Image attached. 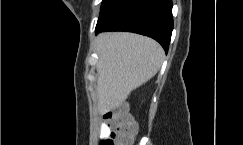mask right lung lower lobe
<instances>
[{"label":"right lung lower lobe","mask_w":243,"mask_h":145,"mask_svg":"<svg viewBox=\"0 0 243 145\" xmlns=\"http://www.w3.org/2000/svg\"><path fill=\"white\" fill-rule=\"evenodd\" d=\"M96 34L129 31L152 37L168 51L173 30L171 0H103Z\"/></svg>","instance_id":"1"}]
</instances>
